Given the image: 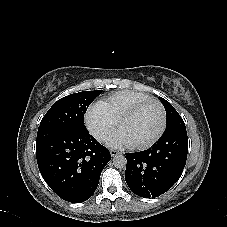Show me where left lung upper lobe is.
I'll return each instance as SVG.
<instances>
[{"label": "left lung upper lobe", "mask_w": 227, "mask_h": 227, "mask_svg": "<svg viewBox=\"0 0 227 227\" xmlns=\"http://www.w3.org/2000/svg\"><path fill=\"white\" fill-rule=\"evenodd\" d=\"M159 99L163 103L166 110V115H167L166 129L185 127L183 119L181 118L179 113L174 109V107L164 98L159 97Z\"/></svg>", "instance_id": "1"}]
</instances>
